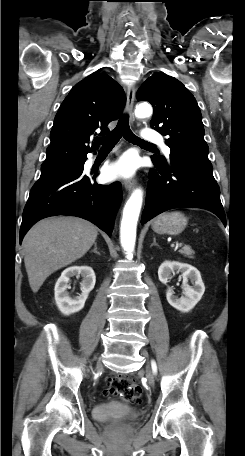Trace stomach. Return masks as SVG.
I'll use <instances>...</instances> for the list:
<instances>
[{
    "mask_svg": "<svg viewBox=\"0 0 245 456\" xmlns=\"http://www.w3.org/2000/svg\"><path fill=\"white\" fill-rule=\"evenodd\" d=\"M187 221L181 212L163 213L154 219L152 229L158 234L177 235L185 229Z\"/></svg>",
    "mask_w": 245,
    "mask_h": 456,
    "instance_id": "stomach-1",
    "label": "stomach"
}]
</instances>
